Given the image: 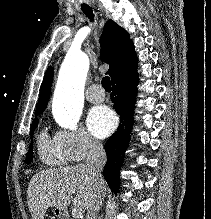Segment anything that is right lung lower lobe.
Instances as JSON below:
<instances>
[{
    "label": "right lung lower lobe",
    "mask_w": 211,
    "mask_h": 219,
    "mask_svg": "<svg viewBox=\"0 0 211 219\" xmlns=\"http://www.w3.org/2000/svg\"><path fill=\"white\" fill-rule=\"evenodd\" d=\"M136 71L137 64L117 75L111 81L113 87L111 100L114 103L113 108L120 116V124L104 146L108 158L104 167V177L114 193H117L120 187L119 172L130 141L138 84Z\"/></svg>",
    "instance_id": "obj_1"
}]
</instances>
